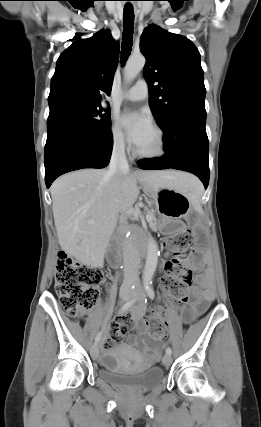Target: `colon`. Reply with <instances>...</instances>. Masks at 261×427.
I'll return each instance as SVG.
<instances>
[{"label":"colon","mask_w":261,"mask_h":427,"mask_svg":"<svg viewBox=\"0 0 261 427\" xmlns=\"http://www.w3.org/2000/svg\"><path fill=\"white\" fill-rule=\"evenodd\" d=\"M191 239L190 231L185 229L173 234L166 245L174 256H178L188 249ZM56 268L55 291L61 306L72 317L86 316L97 300L104 277L102 270L81 263L66 252L59 253ZM191 279L190 269L181 266L176 259L169 261L162 286L173 299L174 307L181 309L186 304ZM164 317V311L158 310L146 320L145 327L151 337L158 338L163 334L167 326Z\"/></svg>","instance_id":"colon-1"}]
</instances>
